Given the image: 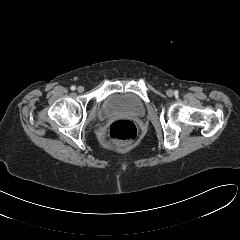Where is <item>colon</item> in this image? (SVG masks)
<instances>
[{"instance_id": "5ec220e1", "label": "colon", "mask_w": 240, "mask_h": 240, "mask_svg": "<svg viewBox=\"0 0 240 240\" xmlns=\"http://www.w3.org/2000/svg\"><path fill=\"white\" fill-rule=\"evenodd\" d=\"M108 134L112 142L126 145L136 140L138 128L132 121L118 120L110 125Z\"/></svg>"}]
</instances>
